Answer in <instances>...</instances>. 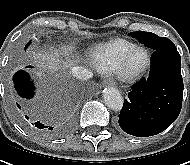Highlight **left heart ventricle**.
Segmentation results:
<instances>
[{"label":"left heart ventricle","mask_w":190,"mask_h":165,"mask_svg":"<svg viewBox=\"0 0 190 165\" xmlns=\"http://www.w3.org/2000/svg\"><path fill=\"white\" fill-rule=\"evenodd\" d=\"M146 62V54L143 51H139L133 55L130 60L129 67L131 70L140 69Z\"/></svg>","instance_id":"obj_1"}]
</instances>
